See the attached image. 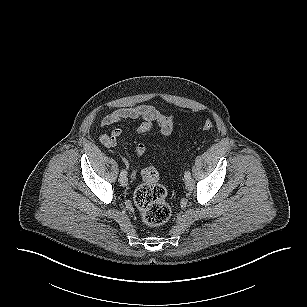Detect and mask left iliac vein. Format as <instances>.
Wrapping results in <instances>:
<instances>
[{"instance_id": "obj_1", "label": "left iliac vein", "mask_w": 307, "mask_h": 307, "mask_svg": "<svg viewBox=\"0 0 307 307\" xmlns=\"http://www.w3.org/2000/svg\"><path fill=\"white\" fill-rule=\"evenodd\" d=\"M194 184H195V182H194V180L191 176H188V177L185 178V186L188 190L193 189Z\"/></svg>"}]
</instances>
